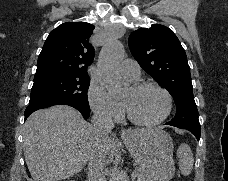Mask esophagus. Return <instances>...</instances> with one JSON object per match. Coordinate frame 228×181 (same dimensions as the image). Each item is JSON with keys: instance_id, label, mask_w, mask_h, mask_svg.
Listing matches in <instances>:
<instances>
[{"instance_id": "obj_1", "label": "esophagus", "mask_w": 228, "mask_h": 181, "mask_svg": "<svg viewBox=\"0 0 228 181\" xmlns=\"http://www.w3.org/2000/svg\"><path fill=\"white\" fill-rule=\"evenodd\" d=\"M126 136H130V132L125 130V129H122L121 130V137H126Z\"/></svg>"}]
</instances>
